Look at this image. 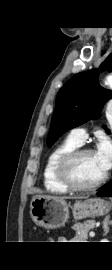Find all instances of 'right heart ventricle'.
<instances>
[{
	"instance_id": "e07e8e85",
	"label": "right heart ventricle",
	"mask_w": 112,
	"mask_h": 270,
	"mask_svg": "<svg viewBox=\"0 0 112 270\" xmlns=\"http://www.w3.org/2000/svg\"><path fill=\"white\" fill-rule=\"evenodd\" d=\"M79 143L67 137L49 153L43 168V184L47 191L54 194H66L69 189L66 188L58 179L57 164L59 159L67 152L78 148Z\"/></svg>"
}]
</instances>
